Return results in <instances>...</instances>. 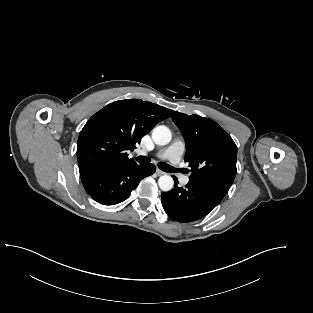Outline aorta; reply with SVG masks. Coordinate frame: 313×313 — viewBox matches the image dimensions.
I'll return each instance as SVG.
<instances>
[{
    "label": "aorta",
    "instance_id": "obj_1",
    "mask_svg": "<svg viewBox=\"0 0 313 313\" xmlns=\"http://www.w3.org/2000/svg\"><path fill=\"white\" fill-rule=\"evenodd\" d=\"M172 135L168 127L157 126L152 131V139L157 145H166L171 141ZM159 187L162 191H170L174 186V180L169 175H163L158 179Z\"/></svg>",
    "mask_w": 313,
    "mask_h": 313
}]
</instances>
